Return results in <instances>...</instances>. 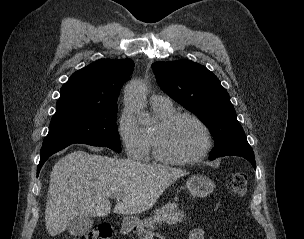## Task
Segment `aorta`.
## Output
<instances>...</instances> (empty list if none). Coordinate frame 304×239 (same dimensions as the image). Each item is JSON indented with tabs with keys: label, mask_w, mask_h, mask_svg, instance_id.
<instances>
[{
	"label": "aorta",
	"mask_w": 304,
	"mask_h": 239,
	"mask_svg": "<svg viewBox=\"0 0 304 239\" xmlns=\"http://www.w3.org/2000/svg\"><path fill=\"white\" fill-rule=\"evenodd\" d=\"M125 103L138 110L140 119H145V85L141 81H133L126 86Z\"/></svg>",
	"instance_id": "762f6f07"
}]
</instances>
